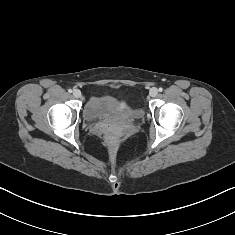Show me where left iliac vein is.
I'll return each mask as SVG.
<instances>
[{"label": "left iliac vein", "instance_id": "obj_1", "mask_svg": "<svg viewBox=\"0 0 235 235\" xmlns=\"http://www.w3.org/2000/svg\"><path fill=\"white\" fill-rule=\"evenodd\" d=\"M157 94H158L157 88H152V89L150 90V96H151V97H156Z\"/></svg>", "mask_w": 235, "mask_h": 235}]
</instances>
